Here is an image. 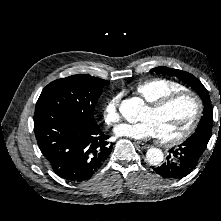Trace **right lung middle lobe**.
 <instances>
[{"instance_id": "dd1d6c3e", "label": "right lung middle lobe", "mask_w": 221, "mask_h": 221, "mask_svg": "<svg viewBox=\"0 0 221 221\" xmlns=\"http://www.w3.org/2000/svg\"><path fill=\"white\" fill-rule=\"evenodd\" d=\"M109 81L90 75H73L49 83L36 106L50 107L85 124H97L94 109Z\"/></svg>"}]
</instances>
